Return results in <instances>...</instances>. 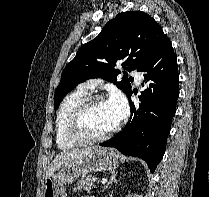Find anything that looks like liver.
Listing matches in <instances>:
<instances>
[{
  "mask_svg": "<svg viewBox=\"0 0 209 197\" xmlns=\"http://www.w3.org/2000/svg\"><path fill=\"white\" fill-rule=\"evenodd\" d=\"M92 149L93 147H88L84 149L66 151L62 152L61 154H58L51 162V164L48 165L45 178L51 177L57 170H59L62 166L67 165L71 161L86 156L92 151Z\"/></svg>",
  "mask_w": 209,
  "mask_h": 197,
  "instance_id": "obj_1",
  "label": "liver"
}]
</instances>
